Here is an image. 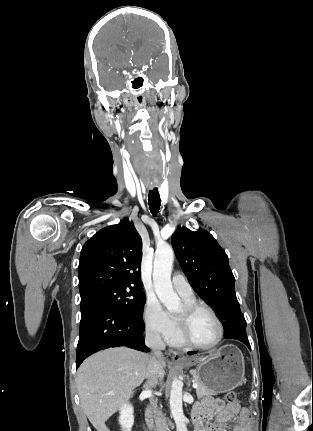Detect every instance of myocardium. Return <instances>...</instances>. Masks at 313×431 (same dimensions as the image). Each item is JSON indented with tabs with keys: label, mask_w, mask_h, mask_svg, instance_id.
Instances as JSON below:
<instances>
[{
	"label": "myocardium",
	"mask_w": 313,
	"mask_h": 431,
	"mask_svg": "<svg viewBox=\"0 0 313 431\" xmlns=\"http://www.w3.org/2000/svg\"><path fill=\"white\" fill-rule=\"evenodd\" d=\"M199 311H207L213 317V319L215 320L217 327H218V336H217L216 340L213 343L208 344V345H200V344L193 342L189 336V333H188L191 319ZM175 322L177 325V331H178V335H179L180 340L182 341L183 345H186L190 348L200 349V350L213 349L221 343V341L224 337V328H223V324H222L220 318L218 317V315L216 314V312L212 308H210L209 306L204 305V304H199V303L188 304V303H186L183 306L182 314L175 316Z\"/></svg>",
	"instance_id": "obj_1"
}]
</instances>
